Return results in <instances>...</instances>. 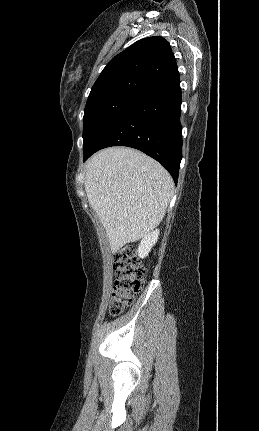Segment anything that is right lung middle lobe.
Segmentation results:
<instances>
[{
	"label": "right lung middle lobe",
	"mask_w": 259,
	"mask_h": 431,
	"mask_svg": "<svg viewBox=\"0 0 259 431\" xmlns=\"http://www.w3.org/2000/svg\"><path fill=\"white\" fill-rule=\"evenodd\" d=\"M150 88L139 81L90 94L83 117V153L86 154L102 132Z\"/></svg>",
	"instance_id": "1"
}]
</instances>
